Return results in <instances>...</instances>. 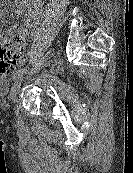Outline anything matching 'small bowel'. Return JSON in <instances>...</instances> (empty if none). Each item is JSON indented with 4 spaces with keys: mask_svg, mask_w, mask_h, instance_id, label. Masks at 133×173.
<instances>
[{
    "mask_svg": "<svg viewBox=\"0 0 133 173\" xmlns=\"http://www.w3.org/2000/svg\"><path fill=\"white\" fill-rule=\"evenodd\" d=\"M44 0H23L15 14L21 16L24 12L27 13L28 20L24 27H13L9 30L10 34L20 35L23 38L22 47H24V38L34 33L36 25L38 24ZM9 42V39L2 33H0V47L5 46Z\"/></svg>",
    "mask_w": 133,
    "mask_h": 173,
    "instance_id": "c3829d8e",
    "label": "small bowel"
}]
</instances>
